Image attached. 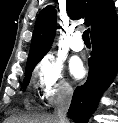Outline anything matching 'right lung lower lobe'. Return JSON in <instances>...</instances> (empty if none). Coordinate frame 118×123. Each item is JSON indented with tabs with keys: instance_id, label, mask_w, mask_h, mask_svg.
Listing matches in <instances>:
<instances>
[{
	"instance_id": "1",
	"label": "right lung lower lobe",
	"mask_w": 118,
	"mask_h": 123,
	"mask_svg": "<svg viewBox=\"0 0 118 123\" xmlns=\"http://www.w3.org/2000/svg\"><path fill=\"white\" fill-rule=\"evenodd\" d=\"M89 75L73 94L68 116L76 123H87L96 109L102 93L112 83L118 71V27L92 39L88 60Z\"/></svg>"
}]
</instances>
